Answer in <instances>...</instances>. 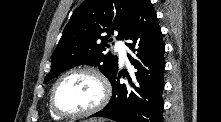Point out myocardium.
<instances>
[{
  "instance_id": "obj_1",
  "label": "myocardium",
  "mask_w": 221,
  "mask_h": 122,
  "mask_svg": "<svg viewBox=\"0 0 221 122\" xmlns=\"http://www.w3.org/2000/svg\"><path fill=\"white\" fill-rule=\"evenodd\" d=\"M74 74H89L95 77L101 86V97L99 101L91 108L81 111V112L70 113V112H65L61 110L57 106L56 101H55V94L60 83L63 80H65L67 77L74 75ZM110 95H111V88H110L109 82L99 70L92 68V67H77V68L70 69L67 72L63 73L56 80L50 92L49 103H50V108L52 109V111L59 117L81 118V117L92 115L100 111L108 103L110 99Z\"/></svg>"
}]
</instances>
